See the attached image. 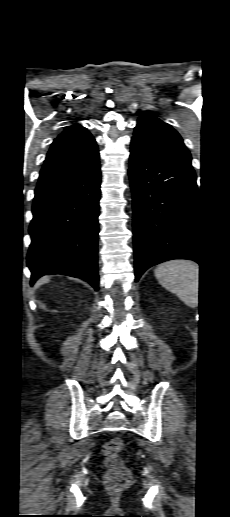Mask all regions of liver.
Listing matches in <instances>:
<instances>
[{
  "instance_id": "obj_1",
  "label": "liver",
  "mask_w": 230,
  "mask_h": 517,
  "mask_svg": "<svg viewBox=\"0 0 230 517\" xmlns=\"http://www.w3.org/2000/svg\"><path fill=\"white\" fill-rule=\"evenodd\" d=\"M50 281V277L49 276H44L42 277L41 279L38 280L37 282V285H43L45 283H48Z\"/></svg>"
}]
</instances>
